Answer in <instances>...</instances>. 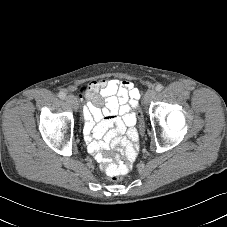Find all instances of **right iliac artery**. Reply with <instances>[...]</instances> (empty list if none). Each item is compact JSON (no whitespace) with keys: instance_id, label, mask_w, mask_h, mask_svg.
Segmentation results:
<instances>
[{"instance_id":"right-iliac-artery-1","label":"right iliac artery","mask_w":227,"mask_h":227,"mask_svg":"<svg viewBox=\"0 0 227 227\" xmlns=\"http://www.w3.org/2000/svg\"><path fill=\"white\" fill-rule=\"evenodd\" d=\"M58 96L62 100L66 98V94L64 92H59Z\"/></svg>"}]
</instances>
